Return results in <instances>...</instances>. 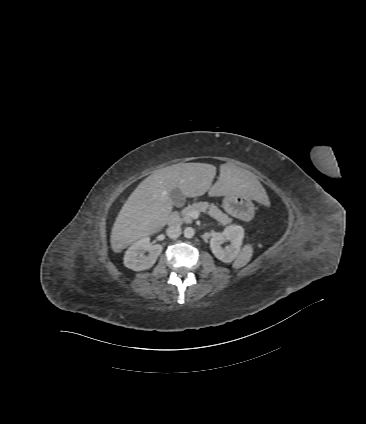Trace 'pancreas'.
Returning a JSON list of instances; mask_svg holds the SVG:
<instances>
[{
  "label": "pancreas",
  "mask_w": 366,
  "mask_h": 424,
  "mask_svg": "<svg viewBox=\"0 0 366 424\" xmlns=\"http://www.w3.org/2000/svg\"><path fill=\"white\" fill-rule=\"evenodd\" d=\"M192 211L208 213L220 225H227L232 222V219L229 218L225 213H223L217 206H215L214 204H209L208 202L194 203L185 207L181 212L183 222H192V218L188 215V213Z\"/></svg>",
  "instance_id": "1"
}]
</instances>
